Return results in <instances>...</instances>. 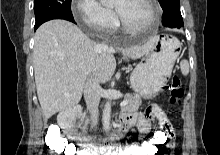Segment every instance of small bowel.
I'll list each match as a JSON object with an SVG mask.
<instances>
[{
    "label": "small bowel",
    "mask_w": 220,
    "mask_h": 155,
    "mask_svg": "<svg viewBox=\"0 0 220 155\" xmlns=\"http://www.w3.org/2000/svg\"><path fill=\"white\" fill-rule=\"evenodd\" d=\"M145 113H125L121 122L126 129L136 127L142 135H147L150 132V125L152 119H157L161 123V129H166L168 136V144H159L156 151L158 154L159 147L162 145H172L174 140V131L170 121L167 119L164 112L159 108V105H147ZM148 139V138H147ZM147 139L144 142H147ZM105 155H146L145 151H138L135 144L130 145L126 151L122 152L118 148H110L106 150Z\"/></svg>",
    "instance_id": "small-bowel-1"
}]
</instances>
